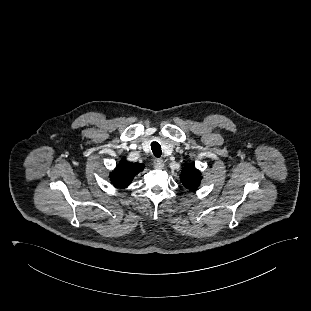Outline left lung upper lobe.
Returning a JSON list of instances; mask_svg holds the SVG:
<instances>
[{
    "instance_id": "obj_1",
    "label": "left lung upper lobe",
    "mask_w": 311,
    "mask_h": 311,
    "mask_svg": "<svg viewBox=\"0 0 311 311\" xmlns=\"http://www.w3.org/2000/svg\"><path fill=\"white\" fill-rule=\"evenodd\" d=\"M180 178L184 187L190 189V191H195L202 179L200 171L189 164L183 167Z\"/></svg>"
}]
</instances>
